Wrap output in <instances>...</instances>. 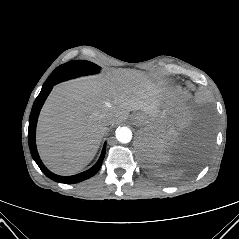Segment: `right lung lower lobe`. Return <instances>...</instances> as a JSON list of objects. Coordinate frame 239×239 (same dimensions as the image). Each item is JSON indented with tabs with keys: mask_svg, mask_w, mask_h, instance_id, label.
I'll list each match as a JSON object with an SVG mask.
<instances>
[{
	"mask_svg": "<svg viewBox=\"0 0 239 239\" xmlns=\"http://www.w3.org/2000/svg\"><path fill=\"white\" fill-rule=\"evenodd\" d=\"M52 89V86L47 87V88H42L41 92L39 93L38 97L36 98L32 110H31V114H30V118H29V129H28V142H29V147H30V151H31V155L33 157V159L35 160V162L37 163V165L39 166V168L43 171V173L50 179L59 182V183H65V184H74V183H78L81 181H84L90 177H92L93 175H95L98 170L100 169L104 156H105V152H106V143L104 144L101 156L98 160V162L89 170L82 172L80 174L77 175H73V176H59L56 174H53L52 172H50L42 163V161L40 160L37 150H36V144H35V130H36V123H37V119H38V115L40 112V109L44 103V101L46 100L48 94L50 93Z\"/></svg>",
	"mask_w": 239,
	"mask_h": 239,
	"instance_id": "obj_1",
	"label": "right lung lower lobe"
}]
</instances>
